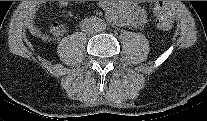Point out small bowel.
<instances>
[{
	"instance_id": "1",
	"label": "small bowel",
	"mask_w": 207,
	"mask_h": 121,
	"mask_svg": "<svg viewBox=\"0 0 207 121\" xmlns=\"http://www.w3.org/2000/svg\"><path fill=\"white\" fill-rule=\"evenodd\" d=\"M67 4L66 1L59 2L60 7H66ZM100 6L104 10L107 19L117 24L137 25L143 23L145 19L142 10L132 2L117 4L110 1H102ZM32 29L35 32L38 31L35 27ZM52 31L55 36H61L66 32V26L61 23H56ZM43 37L46 36L43 35Z\"/></svg>"
}]
</instances>
